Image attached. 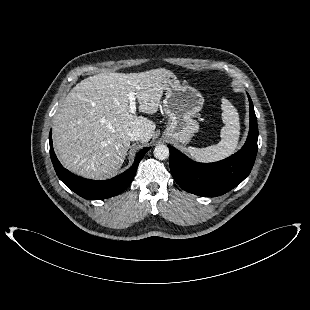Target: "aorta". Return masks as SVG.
<instances>
[{"label": "aorta", "mask_w": 310, "mask_h": 310, "mask_svg": "<svg viewBox=\"0 0 310 310\" xmlns=\"http://www.w3.org/2000/svg\"><path fill=\"white\" fill-rule=\"evenodd\" d=\"M169 148L166 145H157L154 149V156L159 160H165L169 157Z\"/></svg>", "instance_id": "762f6f07"}]
</instances>
